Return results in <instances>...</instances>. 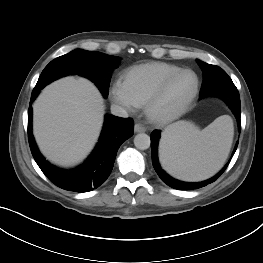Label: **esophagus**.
<instances>
[{
  "label": "esophagus",
  "instance_id": "obj_1",
  "mask_svg": "<svg viewBox=\"0 0 263 263\" xmlns=\"http://www.w3.org/2000/svg\"><path fill=\"white\" fill-rule=\"evenodd\" d=\"M134 131H135L136 133L145 132V131H146V128H145L143 125L137 123V124H135V126H134Z\"/></svg>",
  "mask_w": 263,
  "mask_h": 263
}]
</instances>
